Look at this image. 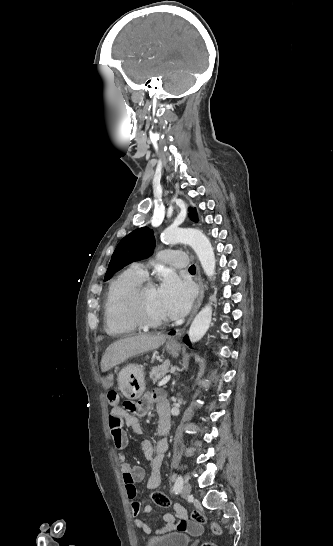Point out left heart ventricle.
<instances>
[{
  "label": "left heart ventricle",
  "instance_id": "left-heart-ventricle-1",
  "mask_svg": "<svg viewBox=\"0 0 333 546\" xmlns=\"http://www.w3.org/2000/svg\"><path fill=\"white\" fill-rule=\"evenodd\" d=\"M142 306L146 315L152 319L165 320L167 318L162 309L156 287H150L144 292Z\"/></svg>",
  "mask_w": 333,
  "mask_h": 546
}]
</instances>
